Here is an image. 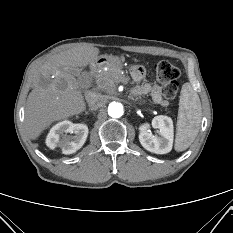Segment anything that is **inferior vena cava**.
I'll return each instance as SVG.
<instances>
[{"label": "inferior vena cava", "mask_w": 233, "mask_h": 233, "mask_svg": "<svg viewBox=\"0 0 233 233\" xmlns=\"http://www.w3.org/2000/svg\"><path fill=\"white\" fill-rule=\"evenodd\" d=\"M85 97L91 107L95 106L100 99V95L95 92H88Z\"/></svg>", "instance_id": "1"}]
</instances>
